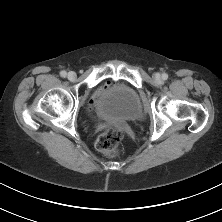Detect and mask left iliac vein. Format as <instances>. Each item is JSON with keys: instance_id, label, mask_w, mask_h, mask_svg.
<instances>
[{"instance_id": "obj_1", "label": "left iliac vein", "mask_w": 222, "mask_h": 222, "mask_svg": "<svg viewBox=\"0 0 222 222\" xmlns=\"http://www.w3.org/2000/svg\"><path fill=\"white\" fill-rule=\"evenodd\" d=\"M154 78H155V80H156L157 82H160V81H161V76H160V74H155V75H154Z\"/></svg>"}]
</instances>
